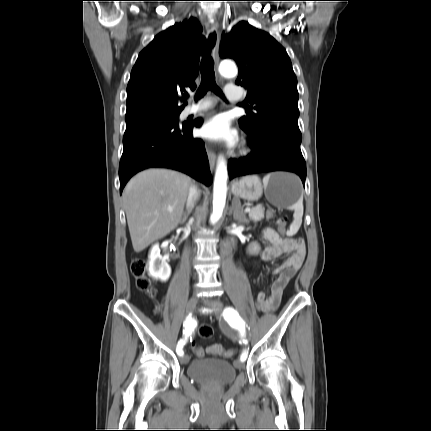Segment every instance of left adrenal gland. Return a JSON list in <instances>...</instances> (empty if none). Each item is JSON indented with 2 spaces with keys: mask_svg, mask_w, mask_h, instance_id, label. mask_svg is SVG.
<instances>
[{
  "mask_svg": "<svg viewBox=\"0 0 431 431\" xmlns=\"http://www.w3.org/2000/svg\"><path fill=\"white\" fill-rule=\"evenodd\" d=\"M231 212H233L234 220L238 223L248 222V219L243 212V208L241 207V203L239 200L232 202Z\"/></svg>",
  "mask_w": 431,
  "mask_h": 431,
  "instance_id": "a2214340",
  "label": "left adrenal gland"
}]
</instances>
